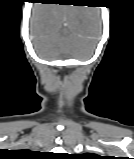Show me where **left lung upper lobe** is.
Masks as SVG:
<instances>
[{
  "label": "left lung upper lobe",
  "mask_w": 134,
  "mask_h": 159,
  "mask_svg": "<svg viewBox=\"0 0 134 159\" xmlns=\"http://www.w3.org/2000/svg\"><path fill=\"white\" fill-rule=\"evenodd\" d=\"M79 159H103L101 156L96 155V154H81L78 156Z\"/></svg>",
  "instance_id": "5c2ea615"
}]
</instances>
